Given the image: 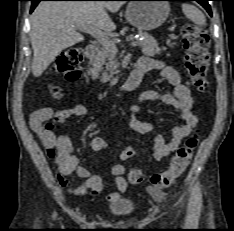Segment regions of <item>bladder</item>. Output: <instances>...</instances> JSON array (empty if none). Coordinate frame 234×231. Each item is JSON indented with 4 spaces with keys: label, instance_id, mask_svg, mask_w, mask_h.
<instances>
[{
    "label": "bladder",
    "instance_id": "1",
    "mask_svg": "<svg viewBox=\"0 0 234 231\" xmlns=\"http://www.w3.org/2000/svg\"><path fill=\"white\" fill-rule=\"evenodd\" d=\"M136 209V203L128 198H121L113 202L108 210L111 214L116 216H128Z\"/></svg>",
    "mask_w": 234,
    "mask_h": 231
}]
</instances>
